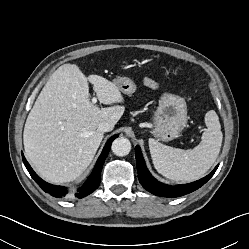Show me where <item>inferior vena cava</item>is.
Masks as SVG:
<instances>
[{"mask_svg": "<svg viewBox=\"0 0 249 249\" xmlns=\"http://www.w3.org/2000/svg\"><path fill=\"white\" fill-rule=\"evenodd\" d=\"M112 129H113V126L110 123L105 122V121L99 123L98 125V130L100 132H108V131H111Z\"/></svg>", "mask_w": 249, "mask_h": 249, "instance_id": "inferior-vena-cava-1", "label": "inferior vena cava"}]
</instances>
